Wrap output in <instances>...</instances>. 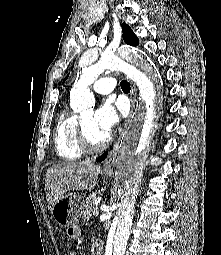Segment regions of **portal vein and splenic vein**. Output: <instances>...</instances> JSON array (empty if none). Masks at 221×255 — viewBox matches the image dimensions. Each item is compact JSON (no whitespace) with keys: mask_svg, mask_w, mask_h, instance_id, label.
<instances>
[{"mask_svg":"<svg viewBox=\"0 0 221 255\" xmlns=\"http://www.w3.org/2000/svg\"><path fill=\"white\" fill-rule=\"evenodd\" d=\"M99 214V208L95 207L93 210V215H98Z\"/></svg>","mask_w":221,"mask_h":255,"instance_id":"1","label":"portal vein and splenic vein"}]
</instances>
